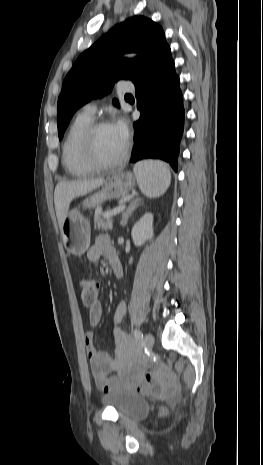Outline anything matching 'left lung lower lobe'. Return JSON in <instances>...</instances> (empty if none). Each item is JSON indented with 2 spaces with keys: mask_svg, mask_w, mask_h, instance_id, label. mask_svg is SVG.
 <instances>
[{
  "mask_svg": "<svg viewBox=\"0 0 263 465\" xmlns=\"http://www.w3.org/2000/svg\"><path fill=\"white\" fill-rule=\"evenodd\" d=\"M132 82L141 115L134 123L135 146L131 160L159 158L177 171L184 107L179 77L168 44L156 52Z\"/></svg>",
  "mask_w": 263,
  "mask_h": 465,
  "instance_id": "0a47b994",
  "label": "left lung lower lobe"
}]
</instances>
